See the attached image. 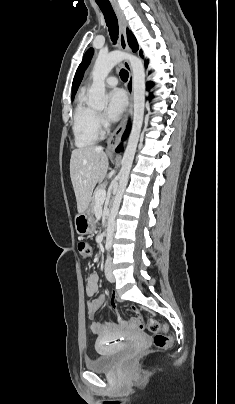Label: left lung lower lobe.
Here are the masks:
<instances>
[{"instance_id":"obj_1","label":"left lung lower lobe","mask_w":235,"mask_h":404,"mask_svg":"<svg viewBox=\"0 0 235 404\" xmlns=\"http://www.w3.org/2000/svg\"><path fill=\"white\" fill-rule=\"evenodd\" d=\"M147 64H148V62L146 61V65H147ZM152 86H153V83H152V82H149V83L147 84V88H148V89H150ZM128 132H129V125H128L126 131H125L124 136H126V135L128 134Z\"/></svg>"}]
</instances>
